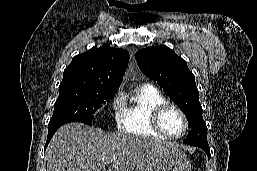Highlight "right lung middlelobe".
<instances>
[{
    "label": "right lung middle lobe",
    "instance_id": "1",
    "mask_svg": "<svg viewBox=\"0 0 257 171\" xmlns=\"http://www.w3.org/2000/svg\"><path fill=\"white\" fill-rule=\"evenodd\" d=\"M116 92L90 86L59 87V96L54 104V113L49 124L83 122L90 125L92 114L109 102Z\"/></svg>",
    "mask_w": 257,
    "mask_h": 171
}]
</instances>
